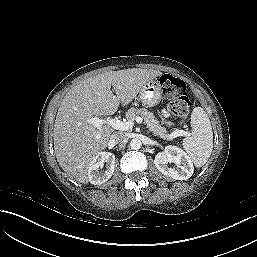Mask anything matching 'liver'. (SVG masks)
Returning a JSON list of instances; mask_svg holds the SVG:
<instances>
[{"mask_svg": "<svg viewBox=\"0 0 257 257\" xmlns=\"http://www.w3.org/2000/svg\"><path fill=\"white\" fill-rule=\"evenodd\" d=\"M160 75L158 70L123 69L92 76L72 87L60 104L53 130L60 167L78 182L88 183V167L107 147L114 129L107 125L98 129L86 120L114 114L119 105L127 106L148 81Z\"/></svg>", "mask_w": 257, "mask_h": 257, "instance_id": "obj_1", "label": "liver"}]
</instances>
